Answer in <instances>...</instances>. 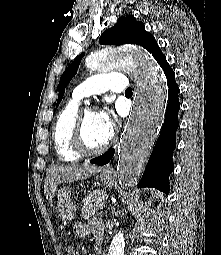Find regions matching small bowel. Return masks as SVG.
<instances>
[{
	"mask_svg": "<svg viewBox=\"0 0 221 255\" xmlns=\"http://www.w3.org/2000/svg\"><path fill=\"white\" fill-rule=\"evenodd\" d=\"M73 233L79 238L86 237L89 234H92L95 239L102 238L103 227L97 220H91L89 223L78 222L73 226ZM75 254V249L72 246H69L67 248V255Z\"/></svg>",
	"mask_w": 221,
	"mask_h": 255,
	"instance_id": "small-bowel-1",
	"label": "small bowel"
}]
</instances>
